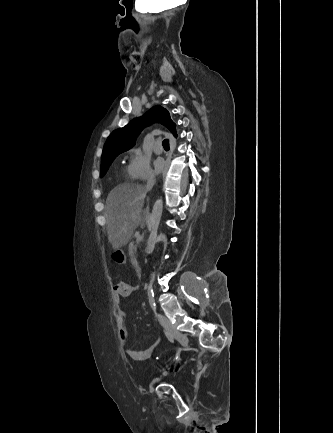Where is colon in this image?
Here are the masks:
<instances>
[{
    "label": "colon",
    "mask_w": 333,
    "mask_h": 433,
    "mask_svg": "<svg viewBox=\"0 0 333 433\" xmlns=\"http://www.w3.org/2000/svg\"><path fill=\"white\" fill-rule=\"evenodd\" d=\"M112 255L114 257V263L116 265H123L125 263L127 251L126 249H114Z\"/></svg>",
    "instance_id": "colon-1"
}]
</instances>
